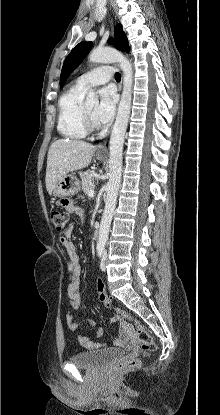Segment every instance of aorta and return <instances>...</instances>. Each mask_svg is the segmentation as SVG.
Segmentation results:
<instances>
[{"instance_id":"762f6f07","label":"aorta","mask_w":220,"mask_h":415,"mask_svg":"<svg viewBox=\"0 0 220 415\" xmlns=\"http://www.w3.org/2000/svg\"><path fill=\"white\" fill-rule=\"evenodd\" d=\"M92 63H118L123 71V91L112 129L109 146V180L106 185L105 209L101 219L98 244L105 245L116 205L122 176V153L124 136L131 111L133 69L130 61L112 48H98L89 54ZM87 104L98 103V97L91 89L86 96Z\"/></svg>"}]
</instances>
